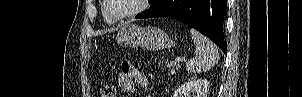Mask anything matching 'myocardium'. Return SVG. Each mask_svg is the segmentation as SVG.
Masks as SVG:
<instances>
[{
	"label": "myocardium",
	"mask_w": 302,
	"mask_h": 97,
	"mask_svg": "<svg viewBox=\"0 0 302 97\" xmlns=\"http://www.w3.org/2000/svg\"><path fill=\"white\" fill-rule=\"evenodd\" d=\"M104 12L107 16H109L112 20L114 21H123L126 19H130L132 17H135L142 13L148 6L149 0H138V5L137 7L124 14V15H115L111 10H110V2L109 0H104Z\"/></svg>",
	"instance_id": "1"
}]
</instances>
